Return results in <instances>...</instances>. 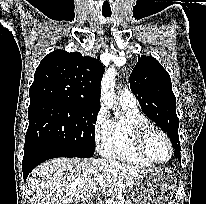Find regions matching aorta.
Listing matches in <instances>:
<instances>
[{
	"instance_id": "aorta-1",
	"label": "aorta",
	"mask_w": 206,
	"mask_h": 204,
	"mask_svg": "<svg viewBox=\"0 0 206 204\" xmlns=\"http://www.w3.org/2000/svg\"><path fill=\"white\" fill-rule=\"evenodd\" d=\"M117 71L114 66L109 67L101 81V100L108 108L115 111L116 96H115V78ZM118 112L116 111L115 114Z\"/></svg>"
}]
</instances>
